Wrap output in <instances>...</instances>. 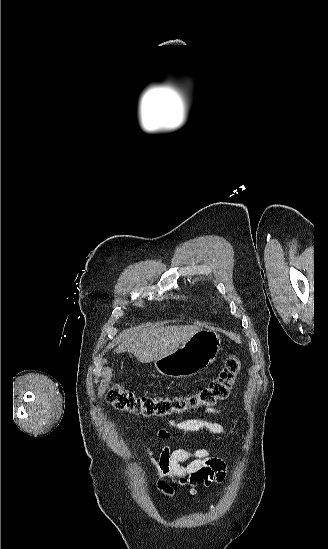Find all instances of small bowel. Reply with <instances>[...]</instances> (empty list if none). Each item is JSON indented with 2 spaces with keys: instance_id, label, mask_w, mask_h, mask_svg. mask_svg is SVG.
Listing matches in <instances>:
<instances>
[{
  "instance_id": "1",
  "label": "small bowel",
  "mask_w": 328,
  "mask_h": 549,
  "mask_svg": "<svg viewBox=\"0 0 328 549\" xmlns=\"http://www.w3.org/2000/svg\"><path fill=\"white\" fill-rule=\"evenodd\" d=\"M204 411L212 415H221L220 407H205ZM172 429L183 432L207 431L213 435H223L224 426L215 421L200 418H189L181 421L168 420ZM170 437V432L161 429L150 443L142 445L147 462L161 478H169L181 484L209 485L213 481H221L225 474V463L219 457L222 451L219 446L215 451L206 448L195 450L172 449L164 441ZM159 447V450H156Z\"/></svg>"
}]
</instances>
